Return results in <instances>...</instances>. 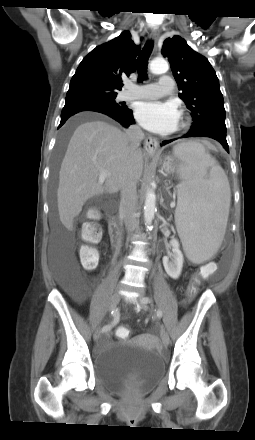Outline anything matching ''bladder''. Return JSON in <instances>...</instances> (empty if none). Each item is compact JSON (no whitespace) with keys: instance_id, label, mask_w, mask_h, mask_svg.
I'll list each match as a JSON object with an SVG mask.
<instances>
[{"instance_id":"bladder-1","label":"bladder","mask_w":255,"mask_h":440,"mask_svg":"<svg viewBox=\"0 0 255 440\" xmlns=\"http://www.w3.org/2000/svg\"><path fill=\"white\" fill-rule=\"evenodd\" d=\"M98 382L106 388L137 394L149 391L164 375L165 362L156 349L146 348L138 339L112 343L94 359Z\"/></svg>"}]
</instances>
